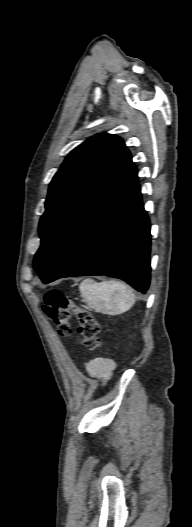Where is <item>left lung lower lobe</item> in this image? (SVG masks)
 <instances>
[{
  "label": "left lung lower lobe",
  "instance_id": "0a47b994",
  "mask_svg": "<svg viewBox=\"0 0 192 527\" xmlns=\"http://www.w3.org/2000/svg\"><path fill=\"white\" fill-rule=\"evenodd\" d=\"M106 275L145 292L150 284V222L133 166L110 190L40 277Z\"/></svg>",
  "mask_w": 192,
  "mask_h": 527
}]
</instances>
